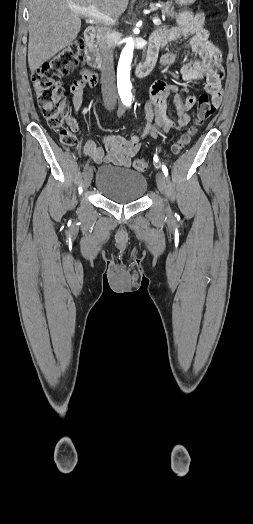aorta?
I'll list each match as a JSON object with an SVG mask.
<instances>
[{
  "label": "aorta",
  "instance_id": "obj_1",
  "mask_svg": "<svg viewBox=\"0 0 253 524\" xmlns=\"http://www.w3.org/2000/svg\"><path fill=\"white\" fill-rule=\"evenodd\" d=\"M134 42L132 38L126 40L117 68L118 92L122 101H131L132 84L130 82L131 62L133 58Z\"/></svg>",
  "mask_w": 253,
  "mask_h": 524
}]
</instances>
